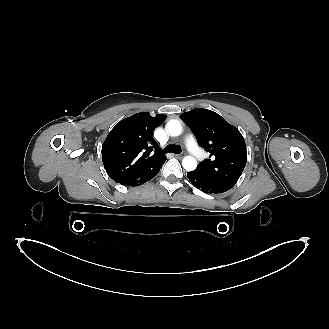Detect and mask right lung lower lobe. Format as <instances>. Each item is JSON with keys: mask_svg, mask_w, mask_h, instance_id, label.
<instances>
[{"mask_svg": "<svg viewBox=\"0 0 329 329\" xmlns=\"http://www.w3.org/2000/svg\"><path fill=\"white\" fill-rule=\"evenodd\" d=\"M162 165L163 164L157 166L150 174H148L144 178L140 179L138 182H136V183H134L132 185H129V186L134 187V186L141 185V184H143V183L151 180L159 172V170H160V168H161Z\"/></svg>", "mask_w": 329, "mask_h": 329, "instance_id": "98d812e1", "label": "right lung lower lobe"}]
</instances>
